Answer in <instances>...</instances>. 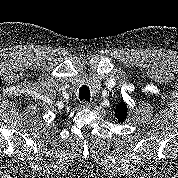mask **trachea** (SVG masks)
<instances>
[{"label": "trachea", "instance_id": "3493384b", "mask_svg": "<svg viewBox=\"0 0 178 178\" xmlns=\"http://www.w3.org/2000/svg\"><path fill=\"white\" fill-rule=\"evenodd\" d=\"M79 99L82 101V100H85L87 102L90 101V89L88 86H82L80 89H79Z\"/></svg>", "mask_w": 178, "mask_h": 178}]
</instances>
